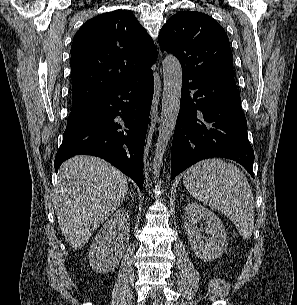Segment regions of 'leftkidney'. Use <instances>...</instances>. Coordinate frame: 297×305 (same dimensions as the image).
<instances>
[{
    "instance_id": "5707ae66",
    "label": "left kidney",
    "mask_w": 297,
    "mask_h": 305,
    "mask_svg": "<svg viewBox=\"0 0 297 305\" xmlns=\"http://www.w3.org/2000/svg\"><path fill=\"white\" fill-rule=\"evenodd\" d=\"M204 222L203 229L207 236H202L198 222ZM185 232L190 245L197 257L211 261L222 256L228 246L227 234L221 220L207 208L195 203H189L185 208Z\"/></svg>"
}]
</instances>
